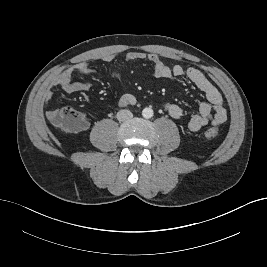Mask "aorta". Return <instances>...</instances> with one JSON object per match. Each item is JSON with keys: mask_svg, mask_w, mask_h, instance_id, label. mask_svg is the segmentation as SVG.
Here are the masks:
<instances>
[{"mask_svg": "<svg viewBox=\"0 0 267 267\" xmlns=\"http://www.w3.org/2000/svg\"><path fill=\"white\" fill-rule=\"evenodd\" d=\"M142 116L149 119L153 116V110L151 108H144L142 111Z\"/></svg>", "mask_w": 267, "mask_h": 267, "instance_id": "aorta-1", "label": "aorta"}]
</instances>
